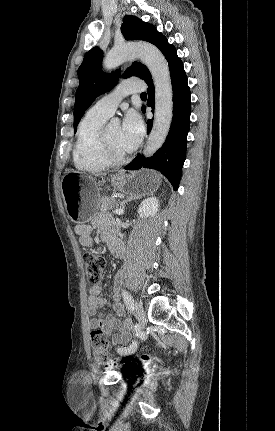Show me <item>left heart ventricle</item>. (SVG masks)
<instances>
[{"instance_id": "left-heart-ventricle-1", "label": "left heart ventricle", "mask_w": 275, "mask_h": 431, "mask_svg": "<svg viewBox=\"0 0 275 431\" xmlns=\"http://www.w3.org/2000/svg\"><path fill=\"white\" fill-rule=\"evenodd\" d=\"M121 127L119 125L110 126L107 129V138L113 150L119 155H125L128 152L122 147L120 143Z\"/></svg>"}]
</instances>
